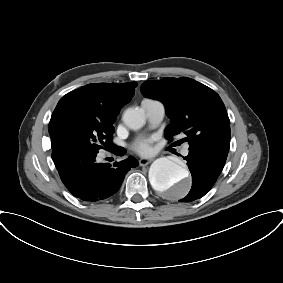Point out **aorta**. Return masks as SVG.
I'll return each mask as SVG.
<instances>
[{"label": "aorta", "instance_id": "1", "mask_svg": "<svg viewBox=\"0 0 283 283\" xmlns=\"http://www.w3.org/2000/svg\"><path fill=\"white\" fill-rule=\"evenodd\" d=\"M122 119L134 130L141 128L145 123L144 113L138 108L126 109ZM149 180L156 191H170L176 199L184 197L189 191L188 171L170 157L158 158L151 164Z\"/></svg>", "mask_w": 283, "mask_h": 283}]
</instances>
